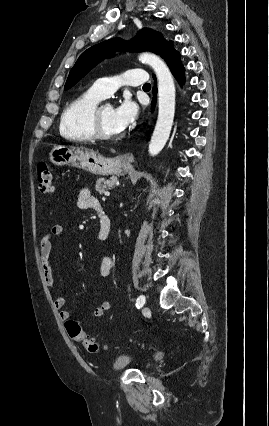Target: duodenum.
Wrapping results in <instances>:
<instances>
[{
    "label": "duodenum",
    "mask_w": 269,
    "mask_h": 426,
    "mask_svg": "<svg viewBox=\"0 0 269 426\" xmlns=\"http://www.w3.org/2000/svg\"><path fill=\"white\" fill-rule=\"evenodd\" d=\"M98 213L100 218V230L98 233V239L104 241L110 237L112 233L113 223L110 216L101 208L98 210Z\"/></svg>",
    "instance_id": "1"
}]
</instances>
